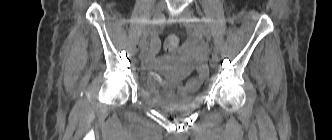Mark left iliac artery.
<instances>
[{
  "instance_id": "44dca946",
  "label": "left iliac artery",
  "mask_w": 332,
  "mask_h": 140,
  "mask_svg": "<svg viewBox=\"0 0 332 140\" xmlns=\"http://www.w3.org/2000/svg\"><path fill=\"white\" fill-rule=\"evenodd\" d=\"M194 22H195V30H196L197 34L200 36L204 35L205 38L207 39V41L209 43H211L210 34H209L208 30L204 27L202 19H200L198 17H194ZM212 58L215 59L217 62L219 60L218 55L214 49L212 51Z\"/></svg>"
}]
</instances>
